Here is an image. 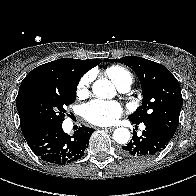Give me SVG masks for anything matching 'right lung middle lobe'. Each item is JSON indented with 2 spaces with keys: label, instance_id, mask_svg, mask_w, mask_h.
I'll return each instance as SVG.
<instances>
[{
  "label": "right lung middle lobe",
  "instance_id": "right-lung-middle-lobe-1",
  "mask_svg": "<svg viewBox=\"0 0 196 196\" xmlns=\"http://www.w3.org/2000/svg\"><path fill=\"white\" fill-rule=\"evenodd\" d=\"M77 85L78 81L51 80L27 88L16 102L27 126L36 131L61 124L65 106L76 99Z\"/></svg>",
  "mask_w": 196,
  "mask_h": 196
}]
</instances>
